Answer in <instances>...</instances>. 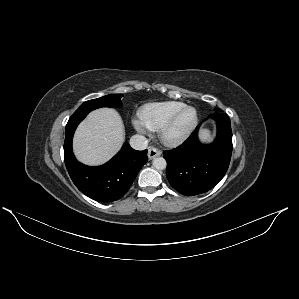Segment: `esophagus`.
Here are the masks:
<instances>
[{"label":"esophagus","instance_id":"1","mask_svg":"<svg viewBox=\"0 0 299 299\" xmlns=\"http://www.w3.org/2000/svg\"><path fill=\"white\" fill-rule=\"evenodd\" d=\"M160 154H161V152L157 148H155L153 146L149 147V149H148L149 160H152L153 158L159 156Z\"/></svg>","mask_w":299,"mask_h":299}]
</instances>
